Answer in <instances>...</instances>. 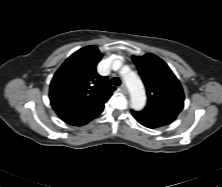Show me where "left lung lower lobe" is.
<instances>
[{
    "label": "left lung lower lobe",
    "instance_id": "obj_1",
    "mask_svg": "<svg viewBox=\"0 0 222 187\" xmlns=\"http://www.w3.org/2000/svg\"><path fill=\"white\" fill-rule=\"evenodd\" d=\"M132 114L139 123L148 128H158L168 125L173 122L178 115V113L174 111L150 109H143L139 112L132 110Z\"/></svg>",
    "mask_w": 222,
    "mask_h": 187
}]
</instances>
